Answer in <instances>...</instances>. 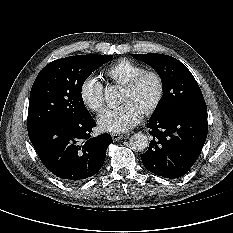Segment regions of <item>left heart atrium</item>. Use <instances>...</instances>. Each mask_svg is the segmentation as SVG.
<instances>
[{
    "label": "left heart atrium",
    "instance_id": "left-heart-atrium-1",
    "mask_svg": "<svg viewBox=\"0 0 233 233\" xmlns=\"http://www.w3.org/2000/svg\"><path fill=\"white\" fill-rule=\"evenodd\" d=\"M143 112L135 105L127 103L117 110L107 111L99 118V127L103 131L123 133L138 125Z\"/></svg>",
    "mask_w": 233,
    "mask_h": 233
}]
</instances>
